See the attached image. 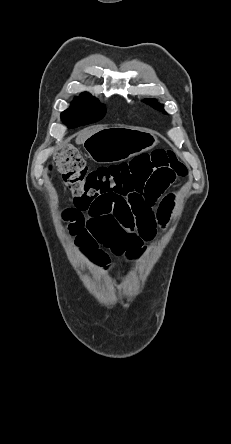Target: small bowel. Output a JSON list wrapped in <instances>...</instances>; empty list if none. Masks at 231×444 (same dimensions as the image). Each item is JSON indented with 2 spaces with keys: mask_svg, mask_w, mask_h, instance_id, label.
<instances>
[{
  "mask_svg": "<svg viewBox=\"0 0 231 444\" xmlns=\"http://www.w3.org/2000/svg\"><path fill=\"white\" fill-rule=\"evenodd\" d=\"M166 188L155 186L151 195L135 209L120 198L75 200L73 206L65 210L64 217L79 247L97 265H109L106 250L133 259L145 242L155 237L158 226H165L170 218L172 196H166L159 209L153 211L154 203Z\"/></svg>",
  "mask_w": 231,
  "mask_h": 444,
  "instance_id": "1",
  "label": "small bowel"
}]
</instances>
